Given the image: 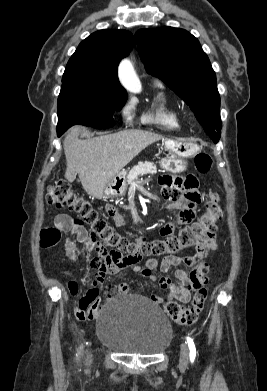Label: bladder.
Masks as SVG:
<instances>
[{
  "mask_svg": "<svg viewBox=\"0 0 267 391\" xmlns=\"http://www.w3.org/2000/svg\"><path fill=\"white\" fill-rule=\"evenodd\" d=\"M96 333L106 347L138 355L163 352L173 337L171 322L160 307L129 295L115 297L103 306Z\"/></svg>",
  "mask_w": 267,
  "mask_h": 391,
  "instance_id": "31cf9c89",
  "label": "bladder"
}]
</instances>
